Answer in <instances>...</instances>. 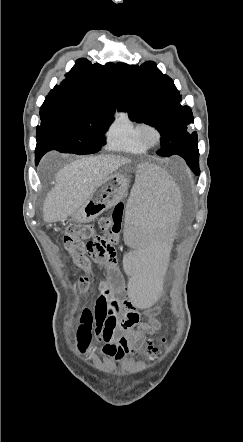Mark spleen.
Segmentation results:
<instances>
[{
    "label": "spleen",
    "mask_w": 243,
    "mask_h": 442,
    "mask_svg": "<svg viewBox=\"0 0 243 442\" xmlns=\"http://www.w3.org/2000/svg\"><path fill=\"white\" fill-rule=\"evenodd\" d=\"M158 163H139L135 183L125 205L126 222L123 237L134 254L124 259L126 274H130L126 296L133 307H153L162 295L166 279L162 277L172 258L173 242H177L174 226H183L177 217L181 207L179 184L159 172Z\"/></svg>",
    "instance_id": "spleen-1"
}]
</instances>
